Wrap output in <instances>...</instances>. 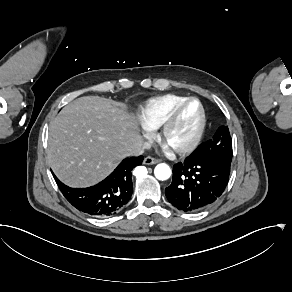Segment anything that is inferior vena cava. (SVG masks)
Listing matches in <instances>:
<instances>
[{"mask_svg":"<svg viewBox=\"0 0 292 292\" xmlns=\"http://www.w3.org/2000/svg\"><path fill=\"white\" fill-rule=\"evenodd\" d=\"M151 143L148 141H145L140 147L133 148L130 150V152L127 153V155H132V156H138L141 155L144 149H150Z\"/></svg>","mask_w":292,"mask_h":292,"instance_id":"inferior-vena-cava-1","label":"inferior vena cava"}]
</instances>
